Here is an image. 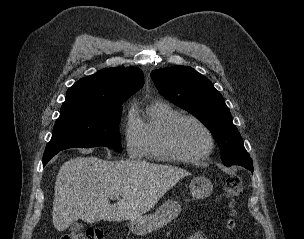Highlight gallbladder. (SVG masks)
<instances>
[{
    "instance_id": "bac80fb5",
    "label": "gallbladder",
    "mask_w": 304,
    "mask_h": 239,
    "mask_svg": "<svg viewBox=\"0 0 304 239\" xmlns=\"http://www.w3.org/2000/svg\"><path fill=\"white\" fill-rule=\"evenodd\" d=\"M83 224L80 222H74L71 224L70 226V230H72L73 232H79L83 229Z\"/></svg>"
}]
</instances>
